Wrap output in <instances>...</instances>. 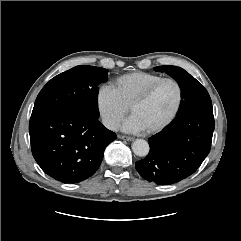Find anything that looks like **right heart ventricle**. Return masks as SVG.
<instances>
[{
	"label": "right heart ventricle",
	"mask_w": 241,
	"mask_h": 241,
	"mask_svg": "<svg viewBox=\"0 0 241 241\" xmlns=\"http://www.w3.org/2000/svg\"><path fill=\"white\" fill-rule=\"evenodd\" d=\"M163 78L149 72H133L118 77L112 84L120 100L130 107L131 103L151 84Z\"/></svg>",
	"instance_id": "obj_1"
}]
</instances>
